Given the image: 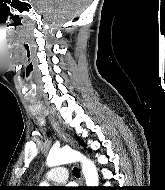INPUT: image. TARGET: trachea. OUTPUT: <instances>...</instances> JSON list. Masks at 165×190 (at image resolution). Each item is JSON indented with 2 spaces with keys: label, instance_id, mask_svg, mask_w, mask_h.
Here are the masks:
<instances>
[{
  "label": "trachea",
  "instance_id": "1",
  "mask_svg": "<svg viewBox=\"0 0 165 190\" xmlns=\"http://www.w3.org/2000/svg\"><path fill=\"white\" fill-rule=\"evenodd\" d=\"M73 174L76 176V177H79L80 176V171L78 168H74L73 169Z\"/></svg>",
  "mask_w": 165,
  "mask_h": 190
}]
</instances>
